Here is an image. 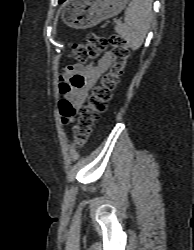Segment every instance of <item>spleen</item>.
Wrapping results in <instances>:
<instances>
[{
  "mask_svg": "<svg viewBox=\"0 0 194 250\" xmlns=\"http://www.w3.org/2000/svg\"><path fill=\"white\" fill-rule=\"evenodd\" d=\"M152 18V0H132L125 10L124 23L117 24L115 31L136 50L143 44Z\"/></svg>",
  "mask_w": 194,
  "mask_h": 250,
  "instance_id": "spleen-1",
  "label": "spleen"
}]
</instances>
